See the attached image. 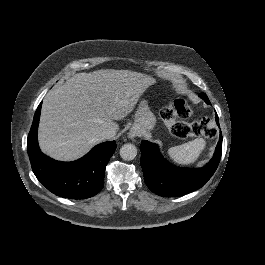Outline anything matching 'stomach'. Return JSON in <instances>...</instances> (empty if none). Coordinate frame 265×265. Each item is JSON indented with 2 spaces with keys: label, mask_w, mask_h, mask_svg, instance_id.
<instances>
[{
  "label": "stomach",
  "mask_w": 265,
  "mask_h": 265,
  "mask_svg": "<svg viewBox=\"0 0 265 265\" xmlns=\"http://www.w3.org/2000/svg\"><path fill=\"white\" fill-rule=\"evenodd\" d=\"M155 124L156 117L150 111L147 100H142L135 113L134 124L130 131L134 133L140 132L142 136H148Z\"/></svg>",
  "instance_id": "0dacf381"
}]
</instances>
